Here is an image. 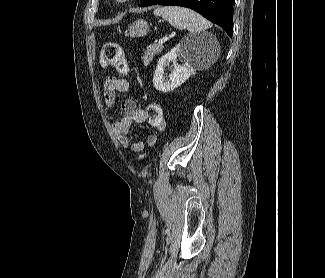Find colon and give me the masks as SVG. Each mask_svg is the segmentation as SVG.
<instances>
[{"label": "colon", "mask_w": 325, "mask_h": 278, "mask_svg": "<svg viewBox=\"0 0 325 278\" xmlns=\"http://www.w3.org/2000/svg\"><path fill=\"white\" fill-rule=\"evenodd\" d=\"M99 63L103 68L112 67L120 73L127 71L125 52L116 43H105L103 45ZM145 118L150 125L160 128L165 121L164 111L161 106L151 104L146 108Z\"/></svg>", "instance_id": "1"}]
</instances>
